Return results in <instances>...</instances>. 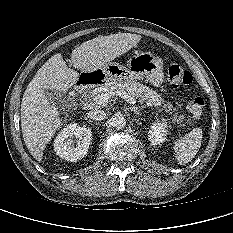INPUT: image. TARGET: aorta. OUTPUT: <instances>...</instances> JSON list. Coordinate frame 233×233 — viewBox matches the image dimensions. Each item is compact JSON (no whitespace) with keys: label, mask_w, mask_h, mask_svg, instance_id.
Returning a JSON list of instances; mask_svg holds the SVG:
<instances>
[{"label":"aorta","mask_w":233,"mask_h":233,"mask_svg":"<svg viewBox=\"0 0 233 233\" xmlns=\"http://www.w3.org/2000/svg\"><path fill=\"white\" fill-rule=\"evenodd\" d=\"M109 124L114 129H122L126 125V120L123 115L121 114H115L111 117L109 120Z\"/></svg>","instance_id":"obj_1"}]
</instances>
